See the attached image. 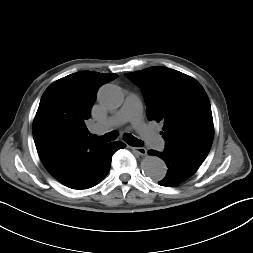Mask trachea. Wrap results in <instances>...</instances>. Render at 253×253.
<instances>
[{
  "instance_id": "trachea-1",
  "label": "trachea",
  "mask_w": 253,
  "mask_h": 253,
  "mask_svg": "<svg viewBox=\"0 0 253 253\" xmlns=\"http://www.w3.org/2000/svg\"><path fill=\"white\" fill-rule=\"evenodd\" d=\"M118 137V132L117 131H111L105 135H103L100 138H96L95 135L90 134V138L92 140H97L100 141L102 143H106V142H110L115 140ZM124 140L133 147H141L142 146V142L139 141L137 138H135L134 136H132L131 134H124Z\"/></svg>"
}]
</instances>
